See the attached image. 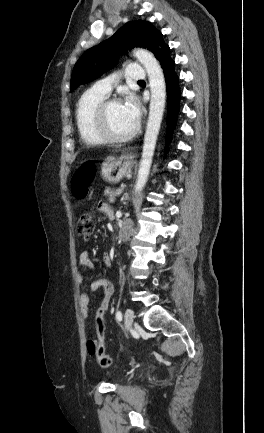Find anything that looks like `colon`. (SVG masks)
Wrapping results in <instances>:
<instances>
[{"label": "colon", "instance_id": "1", "mask_svg": "<svg viewBox=\"0 0 264 433\" xmlns=\"http://www.w3.org/2000/svg\"><path fill=\"white\" fill-rule=\"evenodd\" d=\"M95 167L92 163H85L80 166L72 177V191L76 198L84 199L88 193V187L94 179ZM76 231L79 237L87 239L94 231V219L90 212L83 213L78 222ZM107 308L101 303L95 315V329L98 341L96 357L101 367L107 368L111 366L112 359L105 352V314Z\"/></svg>", "mask_w": 264, "mask_h": 433}]
</instances>
